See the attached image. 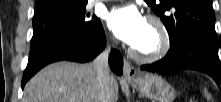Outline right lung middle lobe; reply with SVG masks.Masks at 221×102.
I'll return each instance as SVG.
<instances>
[{
    "mask_svg": "<svg viewBox=\"0 0 221 102\" xmlns=\"http://www.w3.org/2000/svg\"><path fill=\"white\" fill-rule=\"evenodd\" d=\"M87 0H46L35 6L30 50L64 32H86L100 20L86 12Z\"/></svg>",
    "mask_w": 221,
    "mask_h": 102,
    "instance_id": "dd1d6c3e",
    "label": "right lung middle lobe"
}]
</instances>
